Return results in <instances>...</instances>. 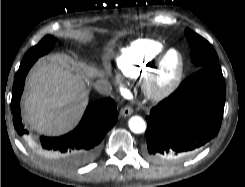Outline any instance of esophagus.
Masks as SVG:
<instances>
[{"mask_svg": "<svg viewBox=\"0 0 245 187\" xmlns=\"http://www.w3.org/2000/svg\"><path fill=\"white\" fill-rule=\"evenodd\" d=\"M132 113H133V109L131 107H129V106H123L120 109V115L122 117L130 116Z\"/></svg>", "mask_w": 245, "mask_h": 187, "instance_id": "1", "label": "esophagus"}]
</instances>
